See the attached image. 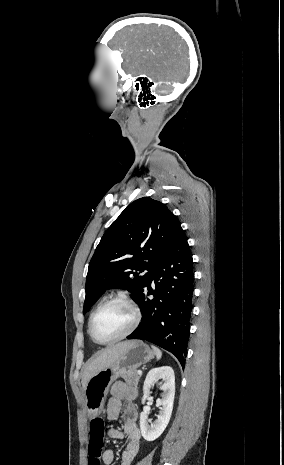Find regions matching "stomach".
<instances>
[{
    "mask_svg": "<svg viewBox=\"0 0 284 465\" xmlns=\"http://www.w3.org/2000/svg\"><path fill=\"white\" fill-rule=\"evenodd\" d=\"M154 355V351H151L148 345H144L142 341H130L126 351L113 365L93 375L84 391L88 417L101 415L109 389L117 377H120L122 373H127V371H136L138 367L154 359Z\"/></svg>",
    "mask_w": 284,
    "mask_h": 465,
    "instance_id": "obj_1",
    "label": "stomach"
}]
</instances>
